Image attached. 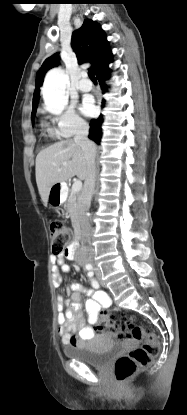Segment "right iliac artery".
I'll use <instances>...</instances> for the list:
<instances>
[{
  "label": "right iliac artery",
  "mask_w": 187,
  "mask_h": 415,
  "mask_svg": "<svg viewBox=\"0 0 187 415\" xmlns=\"http://www.w3.org/2000/svg\"><path fill=\"white\" fill-rule=\"evenodd\" d=\"M86 268H87V270H91L92 269V266L91 265H87Z\"/></svg>",
  "instance_id": "obj_1"
}]
</instances>
